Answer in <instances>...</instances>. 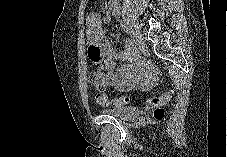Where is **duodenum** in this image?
Returning <instances> with one entry per match:
<instances>
[{
    "label": "duodenum",
    "instance_id": "obj_1",
    "mask_svg": "<svg viewBox=\"0 0 227 157\" xmlns=\"http://www.w3.org/2000/svg\"><path fill=\"white\" fill-rule=\"evenodd\" d=\"M110 2V7L114 13L115 16L120 15V9L117 0H109Z\"/></svg>",
    "mask_w": 227,
    "mask_h": 157
}]
</instances>
